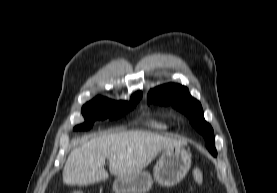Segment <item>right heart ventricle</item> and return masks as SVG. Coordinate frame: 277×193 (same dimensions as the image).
<instances>
[{"label":"right heart ventricle","instance_id":"obj_1","mask_svg":"<svg viewBox=\"0 0 277 193\" xmlns=\"http://www.w3.org/2000/svg\"><path fill=\"white\" fill-rule=\"evenodd\" d=\"M150 126L157 130H167L171 127V124L160 120H151Z\"/></svg>","mask_w":277,"mask_h":193}]
</instances>
